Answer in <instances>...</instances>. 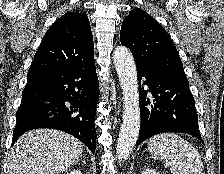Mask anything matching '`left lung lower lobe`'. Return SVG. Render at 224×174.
<instances>
[{"label":"left lung lower lobe","instance_id":"0a47b994","mask_svg":"<svg viewBox=\"0 0 224 174\" xmlns=\"http://www.w3.org/2000/svg\"><path fill=\"white\" fill-rule=\"evenodd\" d=\"M137 68L139 82L148 90L140 91L141 125L137 145L146 139L166 132L190 134L202 143L198 131V115L194 97L186 77ZM143 88V86H142ZM150 93L153 101L147 98Z\"/></svg>","mask_w":224,"mask_h":174}]
</instances>
